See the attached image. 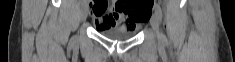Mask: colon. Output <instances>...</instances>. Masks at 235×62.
<instances>
[{"mask_svg": "<svg viewBox=\"0 0 235 62\" xmlns=\"http://www.w3.org/2000/svg\"><path fill=\"white\" fill-rule=\"evenodd\" d=\"M153 4V0L148 1H126L120 4V8L127 15L129 20L134 24L145 22L148 14L151 10V6ZM105 3L99 2L95 6L98 9H104Z\"/></svg>", "mask_w": 235, "mask_h": 62, "instance_id": "5ec220e1", "label": "colon"}]
</instances>
